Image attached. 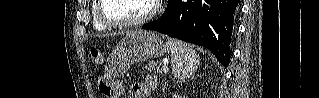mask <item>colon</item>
<instances>
[{
    "mask_svg": "<svg viewBox=\"0 0 319 98\" xmlns=\"http://www.w3.org/2000/svg\"><path fill=\"white\" fill-rule=\"evenodd\" d=\"M90 56L95 62L97 63L102 62V54L98 48L96 47L90 48Z\"/></svg>",
    "mask_w": 319,
    "mask_h": 98,
    "instance_id": "5ec220e1",
    "label": "colon"
}]
</instances>
